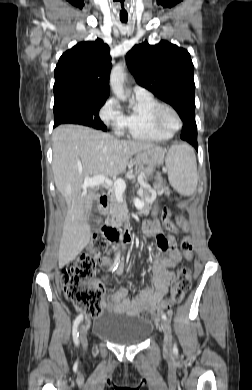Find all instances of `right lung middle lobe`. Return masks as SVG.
I'll use <instances>...</instances> for the list:
<instances>
[{"instance_id":"1","label":"right lung middle lobe","mask_w":252,"mask_h":390,"mask_svg":"<svg viewBox=\"0 0 252 390\" xmlns=\"http://www.w3.org/2000/svg\"><path fill=\"white\" fill-rule=\"evenodd\" d=\"M105 101L69 99L54 103V127L59 124H81L103 131L107 127L99 118V110Z\"/></svg>"}]
</instances>
